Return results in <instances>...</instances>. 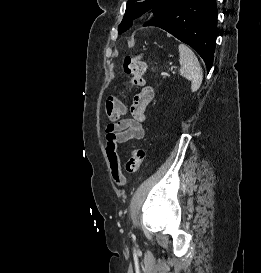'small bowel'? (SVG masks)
Instances as JSON below:
<instances>
[{"mask_svg":"<svg viewBox=\"0 0 261 273\" xmlns=\"http://www.w3.org/2000/svg\"><path fill=\"white\" fill-rule=\"evenodd\" d=\"M155 91L152 86L144 87L135 97L130 109L131 118L119 120L107 125L105 130V153L109 162L111 177L117 185L122 180L125 184L126 178L122 172L121 162L117 153V146L130 140H140L145 136L142 126L145 120V112L152 102Z\"/></svg>","mask_w":261,"mask_h":273,"instance_id":"small-bowel-1","label":"small bowel"}]
</instances>
